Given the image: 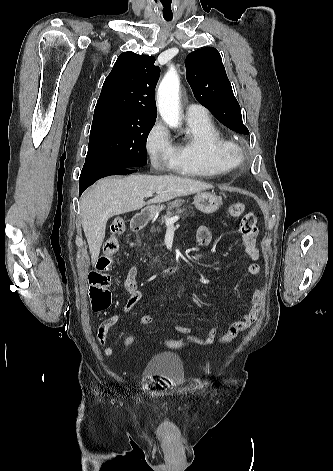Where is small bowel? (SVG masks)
I'll return each instance as SVG.
<instances>
[{"instance_id":"c3829d8e","label":"small bowel","mask_w":333,"mask_h":471,"mask_svg":"<svg viewBox=\"0 0 333 471\" xmlns=\"http://www.w3.org/2000/svg\"><path fill=\"white\" fill-rule=\"evenodd\" d=\"M239 231L242 233V242L247 256L253 261L247 268V272L251 276H256L260 273V266L256 261L259 259V250L256 245L257 228L255 218L251 214L244 216L240 223ZM196 242L199 246H207L211 242V232L206 226H200L196 231ZM137 266L133 265L128 270L124 279L123 285L125 290L130 294L124 306V312H129L141 299L142 293L138 289L136 282ZM265 291L263 288H255L252 291L251 299L247 305L246 311L242 318L233 322L228 327V330L221 336L217 337L218 330L212 327L208 330L204 338H198L190 335L191 328L182 322H173V328L177 333L185 335L184 342L196 346H209L217 338L222 343L231 342L241 332L248 329L257 319L264 305ZM119 317L117 315L111 316L104 320L97 330V340L104 346L107 341L109 330L117 324ZM142 325H150L154 322V318L149 314H144L140 318ZM115 353L113 347H105L104 354L112 356Z\"/></svg>"}]
</instances>
